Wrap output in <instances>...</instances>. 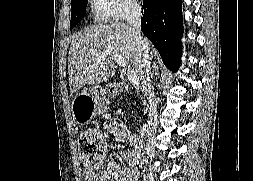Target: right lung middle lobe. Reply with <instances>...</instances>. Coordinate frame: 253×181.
Segmentation results:
<instances>
[{
  "label": "right lung middle lobe",
  "instance_id": "dd1d6c3e",
  "mask_svg": "<svg viewBox=\"0 0 253 181\" xmlns=\"http://www.w3.org/2000/svg\"><path fill=\"white\" fill-rule=\"evenodd\" d=\"M87 0H71L70 27L75 26L86 14Z\"/></svg>",
  "mask_w": 253,
  "mask_h": 181
}]
</instances>
